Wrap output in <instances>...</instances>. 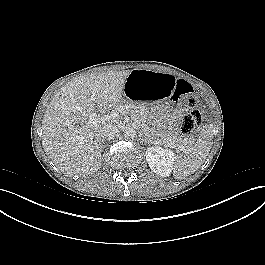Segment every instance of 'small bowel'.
Wrapping results in <instances>:
<instances>
[{
	"instance_id": "obj_1",
	"label": "small bowel",
	"mask_w": 265,
	"mask_h": 265,
	"mask_svg": "<svg viewBox=\"0 0 265 265\" xmlns=\"http://www.w3.org/2000/svg\"><path fill=\"white\" fill-rule=\"evenodd\" d=\"M186 82V81H185ZM184 109V106H180L177 110H176V112H175V114L176 115H180V113H181V111Z\"/></svg>"
}]
</instances>
